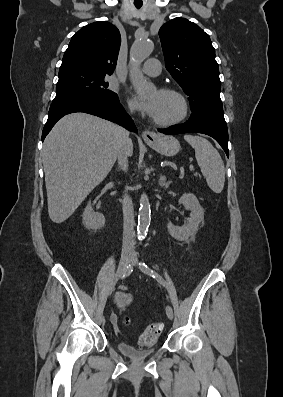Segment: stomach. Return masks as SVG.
<instances>
[{
	"label": "stomach",
	"instance_id": "0dacf381",
	"mask_svg": "<svg viewBox=\"0 0 283 397\" xmlns=\"http://www.w3.org/2000/svg\"><path fill=\"white\" fill-rule=\"evenodd\" d=\"M146 143L158 153L171 157L180 150L179 141L173 136L157 135L154 140H147Z\"/></svg>",
	"mask_w": 283,
	"mask_h": 397
}]
</instances>
